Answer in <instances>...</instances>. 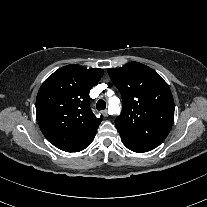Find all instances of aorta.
<instances>
[{"instance_id": "obj_1", "label": "aorta", "mask_w": 207, "mask_h": 207, "mask_svg": "<svg viewBox=\"0 0 207 207\" xmlns=\"http://www.w3.org/2000/svg\"><path fill=\"white\" fill-rule=\"evenodd\" d=\"M108 103H109V109L112 110L115 114H119L120 113V105H119V99L116 96H109L108 99Z\"/></svg>"}]
</instances>
